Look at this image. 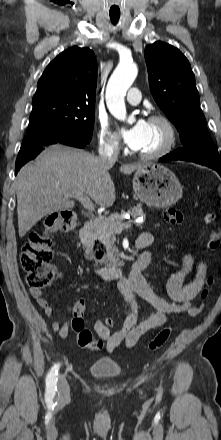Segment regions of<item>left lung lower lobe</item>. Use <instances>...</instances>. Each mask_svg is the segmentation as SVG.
I'll return each mask as SVG.
<instances>
[{"mask_svg":"<svg viewBox=\"0 0 221 440\" xmlns=\"http://www.w3.org/2000/svg\"><path fill=\"white\" fill-rule=\"evenodd\" d=\"M172 160H183V159L180 156L174 154L173 152H171L170 154H167L166 156L160 158V161H172ZM210 168H212V167H210ZM212 169L216 170L221 175V167H216L215 166Z\"/></svg>","mask_w":221,"mask_h":440,"instance_id":"obj_1","label":"left lung lower lobe"}]
</instances>
